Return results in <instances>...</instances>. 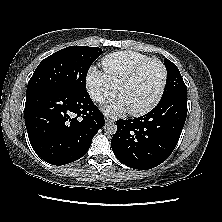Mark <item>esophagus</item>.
Segmentation results:
<instances>
[{"mask_svg":"<svg viewBox=\"0 0 222 222\" xmlns=\"http://www.w3.org/2000/svg\"><path fill=\"white\" fill-rule=\"evenodd\" d=\"M105 121L108 122V123H112V122H114V119L111 118V117L106 116Z\"/></svg>","mask_w":222,"mask_h":222,"instance_id":"esophagus-1","label":"esophagus"}]
</instances>
